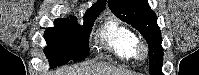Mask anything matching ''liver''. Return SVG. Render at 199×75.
Listing matches in <instances>:
<instances>
[{
	"label": "liver",
	"instance_id": "obj_1",
	"mask_svg": "<svg viewBox=\"0 0 199 75\" xmlns=\"http://www.w3.org/2000/svg\"><path fill=\"white\" fill-rule=\"evenodd\" d=\"M56 75H135L130 71L122 70L107 63H97L90 67L76 66L73 69L59 71Z\"/></svg>",
	"mask_w": 199,
	"mask_h": 75
}]
</instances>
